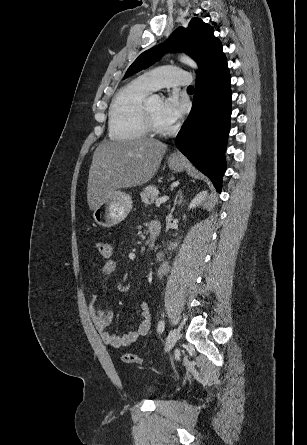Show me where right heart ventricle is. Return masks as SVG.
Here are the masks:
<instances>
[{
  "mask_svg": "<svg viewBox=\"0 0 307 445\" xmlns=\"http://www.w3.org/2000/svg\"><path fill=\"white\" fill-rule=\"evenodd\" d=\"M153 87L146 79L137 80L121 90L109 111V136L114 140H148L149 130L142 108Z\"/></svg>",
  "mask_w": 307,
  "mask_h": 445,
  "instance_id": "obj_1",
  "label": "right heart ventricle"
}]
</instances>
